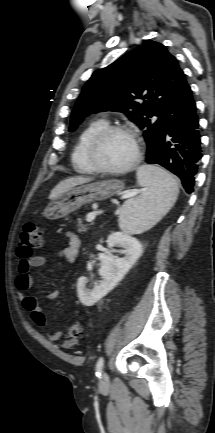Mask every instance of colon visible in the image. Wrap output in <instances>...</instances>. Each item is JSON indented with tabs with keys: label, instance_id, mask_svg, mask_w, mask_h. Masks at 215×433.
I'll use <instances>...</instances> for the list:
<instances>
[{
	"label": "colon",
	"instance_id": "obj_1",
	"mask_svg": "<svg viewBox=\"0 0 215 433\" xmlns=\"http://www.w3.org/2000/svg\"><path fill=\"white\" fill-rule=\"evenodd\" d=\"M43 234L41 229L34 223L23 226L20 234V242L17 254L21 258L32 256V252L42 246ZM69 339H77L83 335V325L80 323L70 324L67 328Z\"/></svg>",
	"mask_w": 215,
	"mask_h": 433
}]
</instances>
